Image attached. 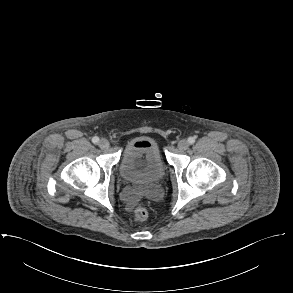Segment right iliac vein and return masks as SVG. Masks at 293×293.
I'll list each match as a JSON object with an SVG mask.
<instances>
[{
    "label": "right iliac vein",
    "mask_w": 293,
    "mask_h": 293,
    "mask_svg": "<svg viewBox=\"0 0 293 293\" xmlns=\"http://www.w3.org/2000/svg\"><path fill=\"white\" fill-rule=\"evenodd\" d=\"M99 147H100L101 149H107V148H109V142H108V140H106V139H101V140L99 141Z\"/></svg>",
    "instance_id": "63e3f726"
}]
</instances>
